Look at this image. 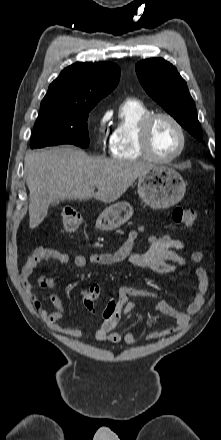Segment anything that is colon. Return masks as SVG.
I'll use <instances>...</instances> for the list:
<instances>
[{
  "label": "colon",
  "instance_id": "obj_1",
  "mask_svg": "<svg viewBox=\"0 0 221 440\" xmlns=\"http://www.w3.org/2000/svg\"><path fill=\"white\" fill-rule=\"evenodd\" d=\"M173 221L185 227H190L196 220V211L191 207L178 206L172 212ZM82 225L81 214L73 208H63L61 211V226L64 233H71ZM99 297V287L93 285L84 300L85 308L92 311L94 303ZM118 303L115 298H110L103 303L101 315L105 320L110 321L116 312Z\"/></svg>",
  "mask_w": 221,
  "mask_h": 440
}]
</instances>
